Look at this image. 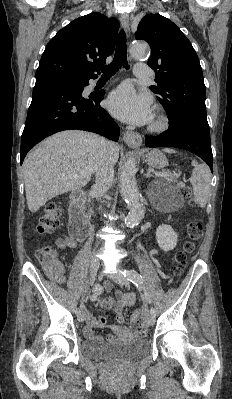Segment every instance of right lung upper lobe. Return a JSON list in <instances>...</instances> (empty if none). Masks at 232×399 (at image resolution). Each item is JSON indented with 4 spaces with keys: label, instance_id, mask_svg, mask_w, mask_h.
Returning a JSON list of instances; mask_svg holds the SVG:
<instances>
[{
    "label": "right lung upper lobe",
    "instance_id": "1",
    "mask_svg": "<svg viewBox=\"0 0 232 399\" xmlns=\"http://www.w3.org/2000/svg\"><path fill=\"white\" fill-rule=\"evenodd\" d=\"M119 22L100 13L72 21L49 41L36 71L46 77L92 78L115 48Z\"/></svg>",
    "mask_w": 232,
    "mask_h": 399
}]
</instances>
